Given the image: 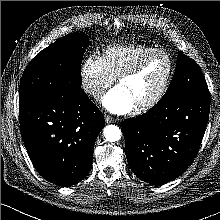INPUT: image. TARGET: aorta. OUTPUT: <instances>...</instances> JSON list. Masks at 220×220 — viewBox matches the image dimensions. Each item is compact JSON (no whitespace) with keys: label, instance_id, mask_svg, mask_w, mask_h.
<instances>
[{"label":"aorta","instance_id":"obj_1","mask_svg":"<svg viewBox=\"0 0 220 220\" xmlns=\"http://www.w3.org/2000/svg\"><path fill=\"white\" fill-rule=\"evenodd\" d=\"M103 134L108 142H116L121 138V131L118 126L108 125L104 128Z\"/></svg>","mask_w":220,"mask_h":220}]
</instances>
